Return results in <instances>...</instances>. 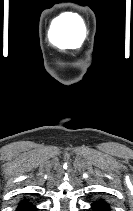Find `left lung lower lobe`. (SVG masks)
Masks as SVG:
<instances>
[{"label": "left lung lower lobe", "mask_w": 133, "mask_h": 211, "mask_svg": "<svg viewBox=\"0 0 133 211\" xmlns=\"http://www.w3.org/2000/svg\"><path fill=\"white\" fill-rule=\"evenodd\" d=\"M91 209L93 211H110V204L100 199L91 204Z\"/></svg>", "instance_id": "left-lung-lower-lobe-1"}]
</instances>
